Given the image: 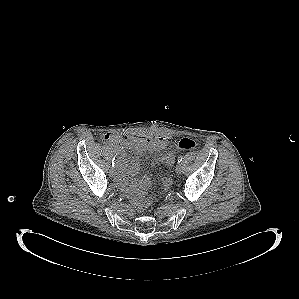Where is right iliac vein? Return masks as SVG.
Wrapping results in <instances>:
<instances>
[{"instance_id": "right-iliac-vein-1", "label": "right iliac vein", "mask_w": 299, "mask_h": 299, "mask_svg": "<svg viewBox=\"0 0 299 299\" xmlns=\"http://www.w3.org/2000/svg\"><path fill=\"white\" fill-rule=\"evenodd\" d=\"M110 175L111 176H115L116 175V172L113 168L110 169Z\"/></svg>"}]
</instances>
